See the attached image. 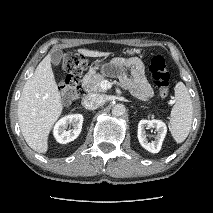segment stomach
I'll return each mask as SVG.
<instances>
[{"label": "stomach", "mask_w": 213, "mask_h": 213, "mask_svg": "<svg viewBox=\"0 0 213 213\" xmlns=\"http://www.w3.org/2000/svg\"><path fill=\"white\" fill-rule=\"evenodd\" d=\"M126 53L129 54V55H133V54L137 53V49H128L126 51ZM103 67H104V65L102 63H96L91 68V70L95 71V70H98V69H103Z\"/></svg>", "instance_id": "obj_1"}]
</instances>
